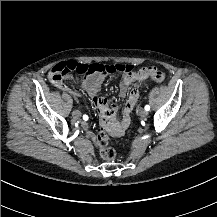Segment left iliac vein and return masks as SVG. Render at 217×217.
<instances>
[{
	"label": "left iliac vein",
	"instance_id": "obj_1",
	"mask_svg": "<svg viewBox=\"0 0 217 217\" xmlns=\"http://www.w3.org/2000/svg\"><path fill=\"white\" fill-rule=\"evenodd\" d=\"M139 115H140V117L145 118L148 116V111H146L145 109H141L139 111Z\"/></svg>",
	"mask_w": 217,
	"mask_h": 217
}]
</instances>
